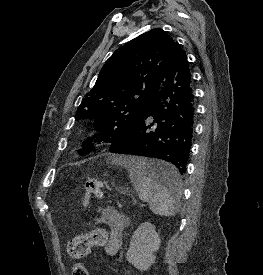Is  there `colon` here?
I'll return each instance as SVG.
<instances>
[{
	"label": "colon",
	"instance_id": "obj_1",
	"mask_svg": "<svg viewBox=\"0 0 263 275\" xmlns=\"http://www.w3.org/2000/svg\"><path fill=\"white\" fill-rule=\"evenodd\" d=\"M103 196V184L99 179L88 178L83 187L82 205L89 204L92 198H101ZM104 239L101 230H94L88 234L77 235L70 239L67 245V253L72 259H83L91 248L99 246ZM72 275H89L87 267L83 263H75L72 269Z\"/></svg>",
	"mask_w": 263,
	"mask_h": 275
}]
</instances>
